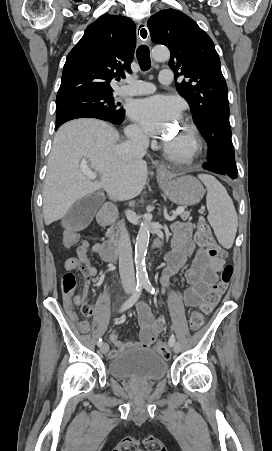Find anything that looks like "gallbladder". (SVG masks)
<instances>
[{
	"label": "gallbladder",
	"mask_w": 272,
	"mask_h": 451,
	"mask_svg": "<svg viewBox=\"0 0 272 451\" xmlns=\"http://www.w3.org/2000/svg\"><path fill=\"white\" fill-rule=\"evenodd\" d=\"M99 194H91L86 198H81L79 202H76L69 212L65 214L62 220L63 227H70V229H84L90 222H92L98 208L104 202V198H98Z\"/></svg>",
	"instance_id": "bac80fb5"
}]
</instances>
